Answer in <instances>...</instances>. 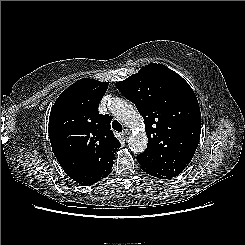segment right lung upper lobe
<instances>
[{
  "label": "right lung upper lobe",
  "mask_w": 245,
  "mask_h": 245,
  "mask_svg": "<svg viewBox=\"0 0 245 245\" xmlns=\"http://www.w3.org/2000/svg\"><path fill=\"white\" fill-rule=\"evenodd\" d=\"M107 82L83 78L57 98L49 116L52 151L62 168L76 171L81 185L103 179L105 164L121 144L111 130L112 117L98 112Z\"/></svg>",
  "instance_id": "1"
}]
</instances>
